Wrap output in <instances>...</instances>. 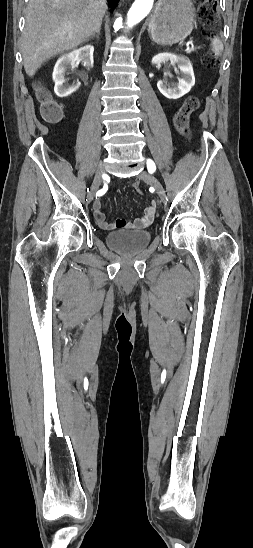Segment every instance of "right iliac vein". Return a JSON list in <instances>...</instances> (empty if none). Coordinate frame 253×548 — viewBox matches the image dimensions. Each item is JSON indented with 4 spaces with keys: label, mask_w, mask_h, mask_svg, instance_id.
Listing matches in <instances>:
<instances>
[{
    "label": "right iliac vein",
    "mask_w": 253,
    "mask_h": 548,
    "mask_svg": "<svg viewBox=\"0 0 253 548\" xmlns=\"http://www.w3.org/2000/svg\"><path fill=\"white\" fill-rule=\"evenodd\" d=\"M103 175H104V168H103V165L100 164L97 168L93 183H92V185L90 187V190L88 192V195H87V198L90 202L93 200V198L95 196V193L97 192L99 186L102 183Z\"/></svg>",
    "instance_id": "63e3f726"
}]
</instances>
